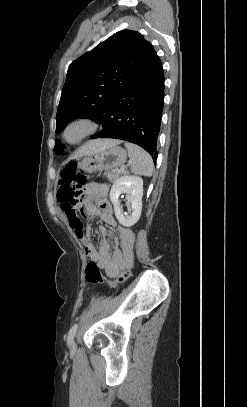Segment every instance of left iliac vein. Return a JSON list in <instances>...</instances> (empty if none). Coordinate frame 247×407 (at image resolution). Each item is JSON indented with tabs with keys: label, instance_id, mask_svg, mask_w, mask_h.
<instances>
[{
	"label": "left iliac vein",
	"instance_id": "1",
	"mask_svg": "<svg viewBox=\"0 0 247 407\" xmlns=\"http://www.w3.org/2000/svg\"><path fill=\"white\" fill-rule=\"evenodd\" d=\"M71 347H72V349H75V348H76V344H75V342H72Z\"/></svg>",
	"mask_w": 247,
	"mask_h": 407
}]
</instances>
